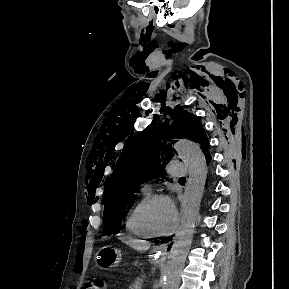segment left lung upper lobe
<instances>
[{
	"label": "left lung upper lobe",
	"instance_id": "5c2ea615",
	"mask_svg": "<svg viewBox=\"0 0 289 289\" xmlns=\"http://www.w3.org/2000/svg\"><path fill=\"white\" fill-rule=\"evenodd\" d=\"M173 111L174 125L150 127L147 133L131 138L121 153L103 194L104 235L119 233L122 219L134 204L136 190L142 183L164 178L163 168L173 157L171 144L177 139L199 143L205 156L208 154V139L198 117L181 107Z\"/></svg>",
	"mask_w": 289,
	"mask_h": 289
}]
</instances>
